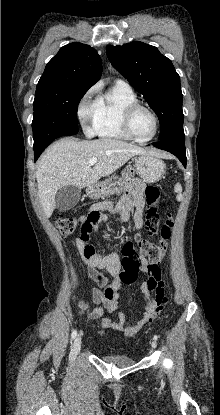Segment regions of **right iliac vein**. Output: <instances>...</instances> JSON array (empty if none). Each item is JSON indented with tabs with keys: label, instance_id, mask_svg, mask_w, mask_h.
Returning a JSON list of instances; mask_svg holds the SVG:
<instances>
[{
	"label": "right iliac vein",
	"instance_id": "right-iliac-vein-1",
	"mask_svg": "<svg viewBox=\"0 0 220 415\" xmlns=\"http://www.w3.org/2000/svg\"><path fill=\"white\" fill-rule=\"evenodd\" d=\"M81 349V338L78 336L75 338L72 346V356L75 357Z\"/></svg>",
	"mask_w": 220,
	"mask_h": 415
}]
</instances>
